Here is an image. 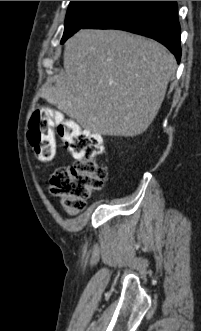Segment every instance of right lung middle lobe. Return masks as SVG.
Segmentation results:
<instances>
[{"label":"right lung middle lobe","instance_id":"obj_1","mask_svg":"<svg viewBox=\"0 0 201 331\" xmlns=\"http://www.w3.org/2000/svg\"><path fill=\"white\" fill-rule=\"evenodd\" d=\"M111 2L113 1H70L61 44L98 15Z\"/></svg>","mask_w":201,"mask_h":331}]
</instances>
